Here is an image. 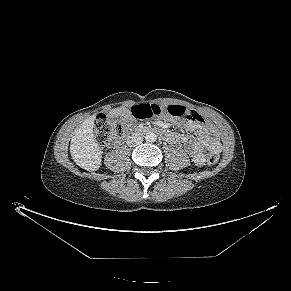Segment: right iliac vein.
I'll return each instance as SVG.
<instances>
[{"label": "right iliac vein", "instance_id": "right-iliac-vein-1", "mask_svg": "<svg viewBox=\"0 0 291 291\" xmlns=\"http://www.w3.org/2000/svg\"><path fill=\"white\" fill-rule=\"evenodd\" d=\"M129 147H135L136 146V139L132 138L130 139V141L128 142Z\"/></svg>", "mask_w": 291, "mask_h": 291}]
</instances>
